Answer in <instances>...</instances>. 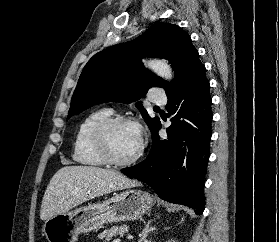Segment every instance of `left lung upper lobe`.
Here are the masks:
<instances>
[{"instance_id":"left-lung-upper-lobe-1","label":"left lung upper lobe","mask_w":279,"mask_h":242,"mask_svg":"<svg viewBox=\"0 0 279 242\" xmlns=\"http://www.w3.org/2000/svg\"><path fill=\"white\" fill-rule=\"evenodd\" d=\"M196 52L188 33L169 23L157 24L133 41L98 52L80 75L72 96L69 117L98 103H132L151 87H161L166 93L170 92L182 79ZM143 56L169 60L175 71L174 80L167 83L143 68ZM136 107L152 131L160 122L159 118H150L141 102H137Z\"/></svg>"}]
</instances>
